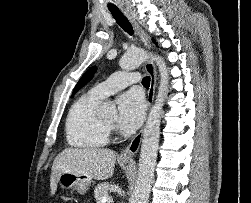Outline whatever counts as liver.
<instances>
[{
  "instance_id": "obj_1",
  "label": "liver",
  "mask_w": 251,
  "mask_h": 203,
  "mask_svg": "<svg viewBox=\"0 0 251 203\" xmlns=\"http://www.w3.org/2000/svg\"><path fill=\"white\" fill-rule=\"evenodd\" d=\"M116 161L115 152L104 148H66L53 162L50 189L54 195L63 172L82 174L95 180H106L113 175Z\"/></svg>"
}]
</instances>
